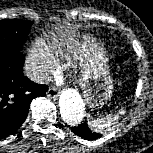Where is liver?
Returning <instances> with one entry per match:
<instances>
[{
	"label": "liver",
	"mask_w": 153,
	"mask_h": 153,
	"mask_svg": "<svg viewBox=\"0 0 153 153\" xmlns=\"http://www.w3.org/2000/svg\"><path fill=\"white\" fill-rule=\"evenodd\" d=\"M62 34L63 38L67 40V50L72 55L75 61L79 60L80 63L83 57V50L80 47L79 42L76 40L77 37V27L68 25L65 31L59 32ZM68 59H71L68 57Z\"/></svg>",
	"instance_id": "liver-1"
}]
</instances>
